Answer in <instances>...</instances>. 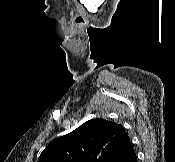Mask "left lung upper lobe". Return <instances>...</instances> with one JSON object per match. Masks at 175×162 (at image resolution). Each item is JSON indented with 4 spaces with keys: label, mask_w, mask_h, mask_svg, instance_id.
<instances>
[{
    "label": "left lung upper lobe",
    "mask_w": 175,
    "mask_h": 162,
    "mask_svg": "<svg viewBox=\"0 0 175 162\" xmlns=\"http://www.w3.org/2000/svg\"><path fill=\"white\" fill-rule=\"evenodd\" d=\"M126 136L119 124L102 118L89 120L71 133L53 140L38 162H107Z\"/></svg>",
    "instance_id": "left-lung-upper-lobe-1"
}]
</instances>
